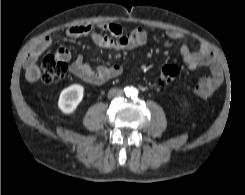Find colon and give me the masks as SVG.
I'll return each mask as SVG.
<instances>
[{"label": "colon", "instance_id": "colon-1", "mask_svg": "<svg viewBox=\"0 0 245 195\" xmlns=\"http://www.w3.org/2000/svg\"><path fill=\"white\" fill-rule=\"evenodd\" d=\"M42 81L44 83H52L58 79L63 78L68 70V65L65 61L54 58L53 56H46L42 60ZM180 69L177 65L167 64L162 66L157 74L156 79L161 85H168L175 81L179 76Z\"/></svg>", "mask_w": 245, "mask_h": 195}]
</instances>
